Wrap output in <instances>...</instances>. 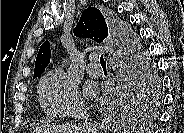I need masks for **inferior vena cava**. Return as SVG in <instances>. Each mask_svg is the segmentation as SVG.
<instances>
[{
  "label": "inferior vena cava",
  "instance_id": "1",
  "mask_svg": "<svg viewBox=\"0 0 184 133\" xmlns=\"http://www.w3.org/2000/svg\"><path fill=\"white\" fill-rule=\"evenodd\" d=\"M76 117L80 120L78 125L79 129L83 130V133H95L93 127L87 122V112L85 109L81 108L76 112Z\"/></svg>",
  "mask_w": 184,
  "mask_h": 133
}]
</instances>
